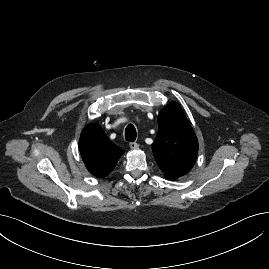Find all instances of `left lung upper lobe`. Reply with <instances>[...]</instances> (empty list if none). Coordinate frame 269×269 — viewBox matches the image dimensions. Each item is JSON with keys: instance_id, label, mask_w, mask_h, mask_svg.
I'll list each match as a JSON object with an SVG mask.
<instances>
[{"instance_id": "obj_1", "label": "left lung upper lobe", "mask_w": 269, "mask_h": 269, "mask_svg": "<svg viewBox=\"0 0 269 269\" xmlns=\"http://www.w3.org/2000/svg\"><path fill=\"white\" fill-rule=\"evenodd\" d=\"M152 150L159 168L168 179L181 177L193 167L198 141L177 103H170L160 112Z\"/></svg>"}]
</instances>
